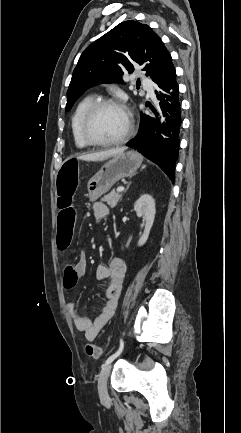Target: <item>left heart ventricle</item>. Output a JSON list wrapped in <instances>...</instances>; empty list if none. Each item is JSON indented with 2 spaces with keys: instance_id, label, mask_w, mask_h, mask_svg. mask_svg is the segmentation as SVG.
Instances as JSON below:
<instances>
[{
  "instance_id": "b2bd125f",
  "label": "left heart ventricle",
  "mask_w": 241,
  "mask_h": 433,
  "mask_svg": "<svg viewBox=\"0 0 241 433\" xmlns=\"http://www.w3.org/2000/svg\"><path fill=\"white\" fill-rule=\"evenodd\" d=\"M126 126L127 117L124 110L117 106H106L93 117L90 132L98 140L110 141L120 137Z\"/></svg>"
}]
</instances>
